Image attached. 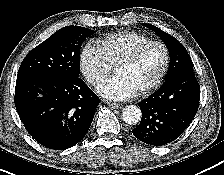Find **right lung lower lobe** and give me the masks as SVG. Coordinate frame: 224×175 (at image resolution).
<instances>
[{
  "label": "right lung lower lobe",
  "mask_w": 224,
  "mask_h": 175,
  "mask_svg": "<svg viewBox=\"0 0 224 175\" xmlns=\"http://www.w3.org/2000/svg\"><path fill=\"white\" fill-rule=\"evenodd\" d=\"M14 101L26 130L38 143L65 150L84 138L100 100L79 77L21 74Z\"/></svg>",
  "instance_id": "98d812e1"
}]
</instances>
